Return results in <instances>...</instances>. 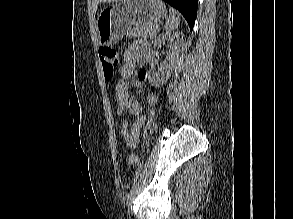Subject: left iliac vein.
<instances>
[{
  "mask_svg": "<svg viewBox=\"0 0 293 219\" xmlns=\"http://www.w3.org/2000/svg\"><path fill=\"white\" fill-rule=\"evenodd\" d=\"M135 194H136V187L132 190V192L129 194V196L127 198L128 213H130L131 206H132L133 200L135 198Z\"/></svg>",
  "mask_w": 293,
  "mask_h": 219,
  "instance_id": "obj_1",
  "label": "left iliac vein"
}]
</instances>
